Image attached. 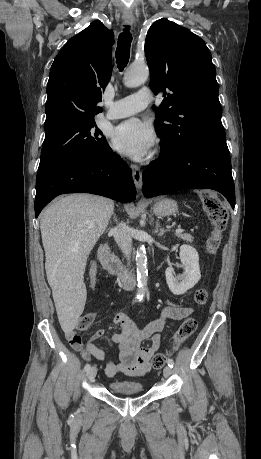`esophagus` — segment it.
<instances>
[{"label":"esophagus","instance_id":"34e87169","mask_svg":"<svg viewBox=\"0 0 261 459\" xmlns=\"http://www.w3.org/2000/svg\"><path fill=\"white\" fill-rule=\"evenodd\" d=\"M133 22H134L133 18H125V23L127 25H132ZM131 169H132V176H133L135 187L138 191H140L143 186L142 172L137 165H132Z\"/></svg>","mask_w":261,"mask_h":459}]
</instances>
